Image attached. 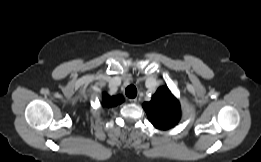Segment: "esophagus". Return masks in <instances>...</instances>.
<instances>
[{"label": "esophagus", "instance_id": "esophagus-1", "mask_svg": "<svg viewBox=\"0 0 261 162\" xmlns=\"http://www.w3.org/2000/svg\"><path fill=\"white\" fill-rule=\"evenodd\" d=\"M129 102L135 104L137 102V99L136 98L129 99Z\"/></svg>", "mask_w": 261, "mask_h": 162}]
</instances>
